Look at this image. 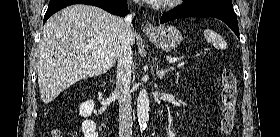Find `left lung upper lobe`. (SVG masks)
<instances>
[{
    "instance_id": "left-lung-upper-lobe-1",
    "label": "left lung upper lobe",
    "mask_w": 280,
    "mask_h": 137,
    "mask_svg": "<svg viewBox=\"0 0 280 137\" xmlns=\"http://www.w3.org/2000/svg\"><path fill=\"white\" fill-rule=\"evenodd\" d=\"M212 1H221V2H227L232 3L231 0H190V4H196V3H203V2H212Z\"/></svg>"
}]
</instances>
